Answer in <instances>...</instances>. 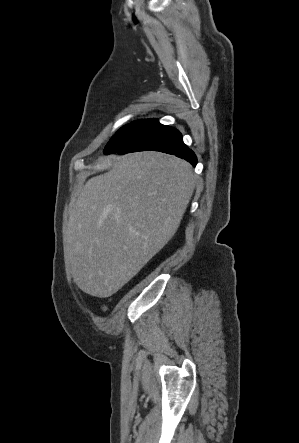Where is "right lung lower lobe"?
<instances>
[{"mask_svg":"<svg viewBox=\"0 0 299 443\" xmlns=\"http://www.w3.org/2000/svg\"><path fill=\"white\" fill-rule=\"evenodd\" d=\"M161 151L174 154L196 166L197 159L175 128L162 125L157 119L132 122L104 154H125L136 151Z\"/></svg>","mask_w":299,"mask_h":443,"instance_id":"right-lung-lower-lobe-1","label":"right lung lower lobe"}]
</instances>
